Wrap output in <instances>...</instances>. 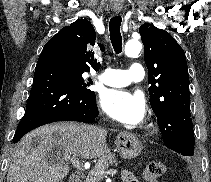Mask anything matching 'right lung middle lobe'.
<instances>
[{"instance_id":"obj_1","label":"right lung middle lobe","mask_w":211,"mask_h":182,"mask_svg":"<svg viewBox=\"0 0 211 182\" xmlns=\"http://www.w3.org/2000/svg\"><path fill=\"white\" fill-rule=\"evenodd\" d=\"M72 69H73L75 79L78 82V84H80L82 90L87 94L94 95L95 93L87 88L90 84H92L91 80L88 79L89 82L86 83V82H84V79L82 77V74L87 72V71L82 70L79 67L74 66V65H72Z\"/></svg>"}]
</instances>
